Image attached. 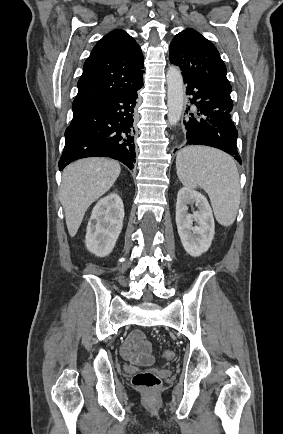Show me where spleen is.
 <instances>
[{"label":"spleen","instance_id":"3e777b00","mask_svg":"<svg viewBox=\"0 0 283 434\" xmlns=\"http://www.w3.org/2000/svg\"><path fill=\"white\" fill-rule=\"evenodd\" d=\"M176 170L184 186H200L207 192L221 225L234 223L240 204V183L232 157L214 148L186 147L177 154Z\"/></svg>","mask_w":283,"mask_h":434}]
</instances>
